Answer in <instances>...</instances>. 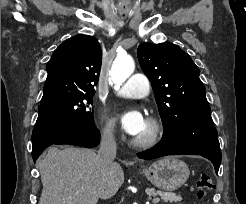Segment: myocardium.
I'll use <instances>...</instances> for the list:
<instances>
[{"mask_svg": "<svg viewBox=\"0 0 246 204\" xmlns=\"http://www.w3.org/2000/svg\"><path fill=\"white\" fill-rule=\"evenodd\" d=\"M146 122L150 126L149 134L143 138L135 137L131 141L132 145L137 148H151L160 141L163 135V124L158 118L150 116L147 118Z\"/></svg>", "mask_w": 246, "mask_h": 204, "instance_id": "myocardium-1", "label": "myocardium"}]
</instances>
